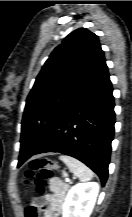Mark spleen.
I'll return each instance as SVG.
<instances>
[{
  "mask_svg": "<svg viewBox=\"0 0 132 217\" xmlns=\"http://www.w3.org/2000/svg\"><path fill=\"white\" fill-rule=\"evenodd\" d=\"M59 159L63 161L68 166L69 170L81 181H89L94 177L93 171L76 158L67 155H61Z\"/></svg>",
  "mask_w": 132,
  "mask_h": 217,
  "instance_id": "3e777b00",
  "label": "spleen"
}]
</instances>
